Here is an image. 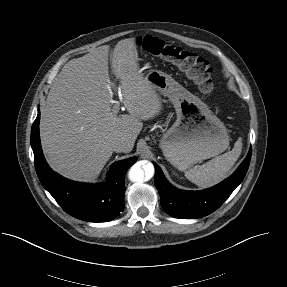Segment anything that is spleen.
I'll list each match as a JSON object with an SVG mask.
<instances>
[{"label":"spleen","instance_id":"obj_1","mask_svg":"<svg viewBox=\"0 0 287 287\" xmlns=\"http://www.w3.org/2000/svg\"><path fill=\"white\" fill-rule=\"evenodd\" d=\"M242 151V138L239 137L234 148L209 162L185 171V177L202 188L214 186L224 180Z\"/></svg>","mask_w":287,"mask_h":287}]
</instances>
